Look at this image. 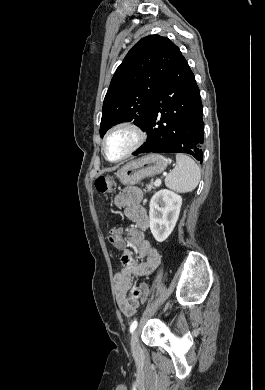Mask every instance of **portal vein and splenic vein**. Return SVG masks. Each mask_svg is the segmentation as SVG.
Returning a JSON list of instances; mask_svg holds the SVG:
<instances>
[{"label":"portal vein and splenic vein","mask_w":265,"mask_h":390,"mask_svg":"<svg viewBox=\"0 0 265 390\" xmlns=\"http://www.w3.org/2000/svg\"><path fill=\"white\" fill-rule=\"evenodd\" d=\"M160 185H161V179H156L155 186H160Z\"/></svg>","instance_id":"1"}]
</instances>
